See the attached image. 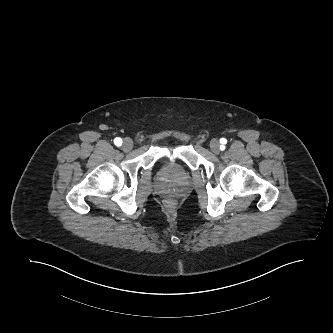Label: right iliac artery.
<instances>
[{"mask_svg":"<svg viewBox=\"0 0 333 333\" xmlns=\"http://www.w3.org/2000/svg\"><path fill=\"white\" fill-rule=\"evenodd\" d=\"M114 143L117 146H121L122 145V139L117 137V138L114 139Z\"/></svg>","mask_w":333,"mask_h":333,"instance_id":"right-iliac-artery-1","label":"right iliac artery"}]
</instances>
